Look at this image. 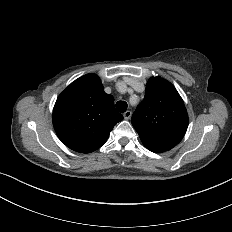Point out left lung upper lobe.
Here are the masks:
<instances>
[{"instance_id":"1","label":"left lung upper lobe","mask_w":232,"mask_h":232,"mask_svg":"<svg viewBox=\"0 0 232 232\" xmlns=\"http://www.w3.org/2000/svg\"><path fill=\"white\" fill-rule=\"evenodd\" d=\"M131 122L144 146L161 153L182 140L188 127V114L175 87L165 79L152 77Z\"/></svg>"}]
</instances>
